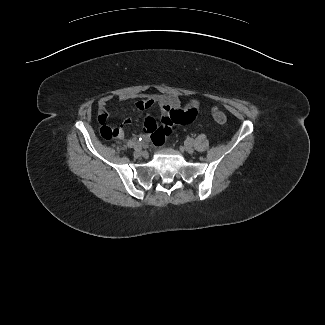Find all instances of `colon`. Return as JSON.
I'll use <instances>...</instances> for the list:
<instances>
[{"mask_svg": "<svg viewBox=\"0 0 325 325\" xmlns=\"http://www.w3.org/2000/svg\"><path fill=\"white\" fill-rule=\"evenodd\" d=\"M212 115H213V118L215 119V121L220 124H224L227 121L224 113L219 111L217 108L212 109ZM118 133H119L118 128H110L107 126L102 127L100 130V134L104 139L115 138L118 136Z\"/></svg>", "mask_w": 325, "mask_h": 325, "instance_id": "obj_1", "label": "colon"}]
</instances>
